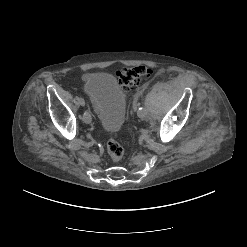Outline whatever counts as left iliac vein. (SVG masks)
<instances>
[{"label":"left iliac vein","instance_id":"4c4485c4","mask_svg":"<svg viewBox=\"0 0 247 247\" xmlns=\"http://www.w3.org/2000/svg\"><path fill=\"white\" fill-rule=\"evenodd\" d=\"M138 116L143 120H147L149 118V114L146 110L142 113L138 112Z\"/></svg>","mask_w":247,"mask_h":247}]
</instances>
